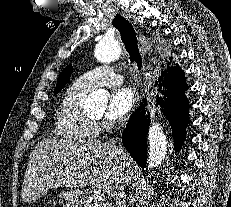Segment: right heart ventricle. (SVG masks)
<instances>
[{
  "mask_svg": "<svg viewBox=\"0 0 231 207\" xmlns=\"http://www.w3.org/2000/svg\"><path fill=\"white\" fill-rule=\"evenodd\" d=\"M88 91L73 84L64 94L58 106L54 132L68 141H85L98 133V124L82 110L81 101Z\"/></svg>",
  "mask_w": 231,
  "mask_h": 207,
  "instance_id": "right-heart-ventricle-1",
  "label": "right heart ventricle"
}]
</instances>
